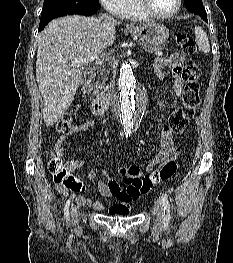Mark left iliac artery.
I'll return each mask as SVG.
<instances>
[{
    "label": "left iliac artery",
    "mask_w": 233,
    "mask_h": 263,
    "mask_svg": "<svg viewBox=\"0 0 233 263\" xmlns=\"http://www.w3.org/2000/svg\"><path fill=\"white\" fill-rule=\"evenodd\" d=\"M161 200H162L163 206H164L163 224H164V227L167 228L169 225L170 218H171V216H170V204H169L167 197L164 194H162Z\"/></svg>",
    "instance_id": "44dca946"
}]
</instances>
